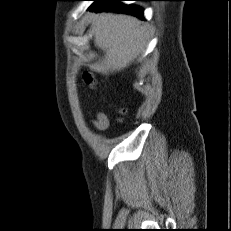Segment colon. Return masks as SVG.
I'll list each match as a JSON object with an SVG mask.
<instances>
[{"instance_id": "obj_1", "label": "colon", "mask_w": 231, "mask_h": 231, "mask_svg": "<svg viewBox=\"0 0 231 231\" xmlns=\"http://www.w3.org/2000/svg\"><path fill=\"white\" fill-rule=\"evenodd\" d=\"M84 81L88 85H93V83H94L93 77L91 75H89V74L84 75Z\"/></svg>"}]
</instances>
